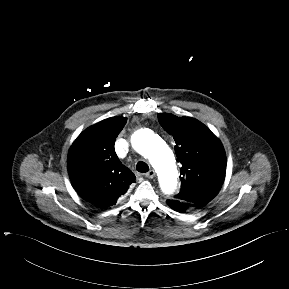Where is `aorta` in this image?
<instances>
[{
  "instance_id": "aorta-1",
  "label": "aorta",
  "mask_w": 289,
  "mask_h": 289,
  "mask_svg": "<svg viewBox=\"0 0 289 289\" xmlns=\"http://www.w3.org/2000/svg\"><path fill=\"white\" fill-rule=\"evenodd\" d=\"M132 146L147 158L158 173L161 190L172 194L177 186L176 160L168 145L150 130H139L132 137Z\"/></svg>"
}]
</instances>
